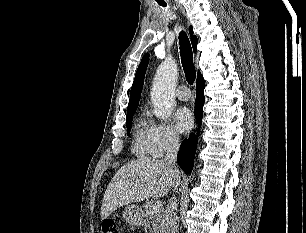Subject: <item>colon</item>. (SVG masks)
<instances>
[{
  "instance_id": "colon-1",
  "label": "colon",
  "mask_w": 306,
  "mask_h": 233,
  "mask_svg": "<svg viewBox=\"0 0 306 233\" xmlns=\"http://www.w3.org/2000/svg\"><path fill=\"white\" fill-rule=\"evenodd\" d=\"M101 233H118L115 222H106L101 227Z\"/></svg>"
}]
</instances>
